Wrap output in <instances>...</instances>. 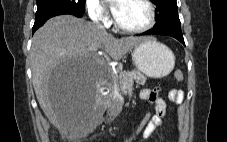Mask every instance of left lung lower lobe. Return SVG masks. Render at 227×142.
Returning a JSON list of instances; mask_svg holds the SVG:
<instances>
[{
    "instance_id": "obj_1",
    "label": "left lung lower lobe",
    "mask_w": 227,
    "mask_h": 142,
    "mask_svg": "<svg viewBox=\"0 0 227 142\" xmlns=\"http://www.w3.org/2000/svg\"><path fill=\"white\" fill-rule=\"evenodd\" d=\"M149 34L172 36L185 45L183 35L180 29H175L170 27H153L152 29L142 33V35H149Z\"/></svg>"
}]
</instances>
